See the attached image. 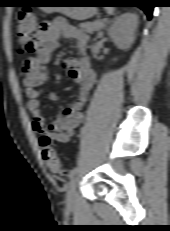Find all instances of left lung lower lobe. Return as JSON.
I'll return each instance as SVG.
<instances>
[{"mask_svg": "<svg viewBox=\"0 0 170 231\" xmlns=\"http://www.w3.org/2000/svg\"><path fill=\"white\" fill-rule=\"evenodd\" d=\"M98 2L112 4L115 7H139L146 13L149 20L152 18L154 8L152 0H99Z\"/></svg>", "mask_w": 170, "mask_h": 231, "instance_id": "1", "label": "left lung lower lobe"}]
</instances>
